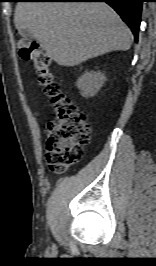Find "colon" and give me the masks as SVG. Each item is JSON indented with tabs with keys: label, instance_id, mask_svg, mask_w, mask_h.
I'll list each match as a JSON object with an SVG mask.
<instances>
[{
	"label": "colon",
	"instance_id": "1",
	"mask_svg": "<svg viewBox=\"0 0 156 266\" xmlns=\"http://www.w3.org/2000/svg\"><path fill=\"white\" fill-rule=\"evenodd\" d=\"M18 50L23 60L32 62L38 84L50 100L54 118L48 126L46 159L52 171L63 172L81 159L89 142L86 114L62 91L48 54L35 41L19 39Z\"/></svg>",
	"mask_w": 156,
	"mask_h": 266
}]
</instances>
